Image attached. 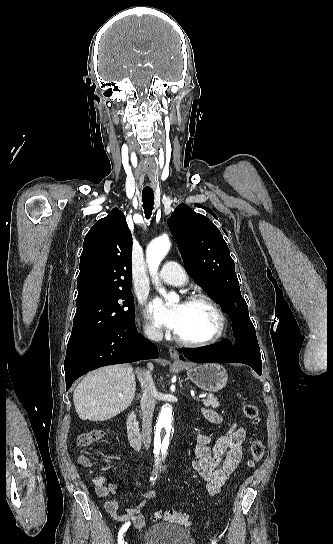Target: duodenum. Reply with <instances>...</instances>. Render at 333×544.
Segmentation results:
<instances>
[{"instance_id": "duodenum-1", "label": "duodenum", "mask_w": 333, "mask_h": 544, "mask_svg": "<svg viewBox=\"0 0 333 544\" xmlns=\"http://www.w3.org/2000/svg\"><path fill=\"white\" fill-rule=\"evenodd\" d=\"M126 425L130 444L139 450L142 446V435L134 412L127 415Z\"/></svg>"}]
</instances>
